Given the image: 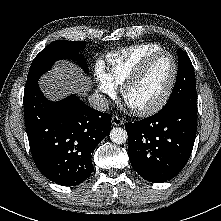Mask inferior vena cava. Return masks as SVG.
Listing matches in <instances>:
<instances>
[{
    "mask_svg": "<svg viewBox=\"0 0 221 221\" xmlns=\"http://www.w3.org/2000/svg\"><path fill=\"white\" fill-rule=\"evenodd\" d=\"M89 105L99 111H107L109 108V102L101 93H93L88 98Z\"/></svg>",
    "mask_w": 221,
    "mask_h": 221,
    "instance_id": "602c4592",
    "label": "inferior vena cava"
}]
</instances>
